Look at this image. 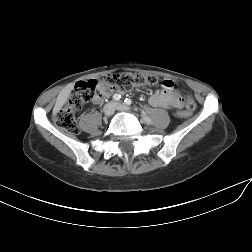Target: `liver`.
Listing matches in <instances>:
<instances>
[{"label":"liver","mask_w":252,"mask_h":252,"mask_svg":"<svg viewBox=\"0 0 252 252\" xmlns=\"http://www.w3.org/2000/svg\"><path fill=\"white\" fill-rule=\"evenodd\" d=\"M72 90H73V84H70L66 86L63 90H61V92L57 96L56 103L53 109L54 114L58 113L59 110L63 107L67 99L70 97Z\"/></svg>","instance_id":"liver-1"}]
</instances>
